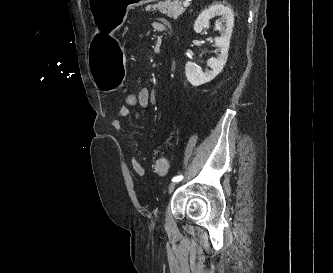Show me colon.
<instances>
[{
  "instance_id": "5ec220e1",
  "label": "colon",
  "mask_w": 333,
  "mask_h": 273,
  "mask_svg": "<svg viewBox=\"0 0 333 273\" xmlns=\"http://www.w3.org/2000/svg\"><path fill=\"white\" fill-rule=\"evenodd\" d=\"M138 105V93H128L124 98V106L127 108H133ZM169 170V161L166 158H158L153 165V171L155 174L164 176Z\"/></svg>"
}]
</instances>
